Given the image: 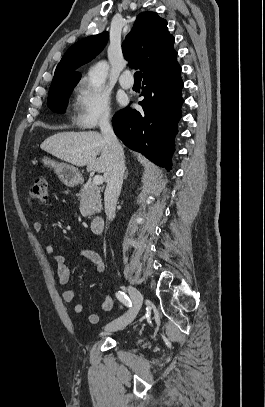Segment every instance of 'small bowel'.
<instances>
[{
	"mask_svg": "<svg viewBox=\"0 0 265 407\" xmlns=\"http://www.w3.org/2000/svg\"><path fill=\"white\" fill-rule=\"evenodd\" d=\"M33 230L35 232H41L43 230V223L41 221H34L32 224ZM45 252L49 255H51L53 257V260L56 264V268H57V275H58V279L59 282L62 285H68L70 282V271L68 266L65 263L64 258L57 254L55 251V248L53 245L51 244H46L45 247ZM81 255L88 258L89 260H91L95 266H96V270L97 272H102L104 270V262L102 257L95 251L93 250H89V249H85L81 252ZM76 298V293L73 289L68 288L66 290H64L63 292V299L65 302L67 303H72L75 301ZM113 307V299L110 296V294H106L103 302L101 303V309L103 311H110ZM84 310V306L81 303H75L73 306V312L75 314H81ZM88 322L90 324H97L99 321V317L97 314L91 313L88 315L87 317Z\"/></svg>",
	"mask_w": 265,
	"mask_h": 407,
	"instance_id": "c3829d8e",
	"label": "small bowel"
}]
</instances>
